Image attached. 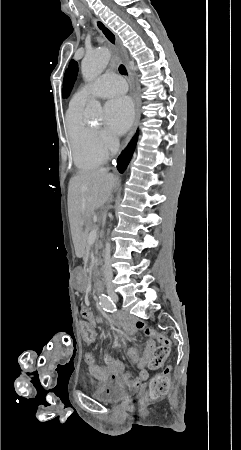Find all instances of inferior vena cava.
Segmentation results:
<instances>
[{"label":"inferior vena cava","instance_id":"1","mask_svg":"<svg viewBox=\"0 0 241 450\" xmlns=\"http://www.w3.org/2000/svg\"><path fill=\"white\" fill-rule=\"evenodd\" d=\"M110 244L109 242H106V246H105V264H104V276H105V280L106 282H111L112 278H113V270H112V266H111V252H110Z\"/></svg>","mask_w":241,"mask_h":450}]
</instances>
